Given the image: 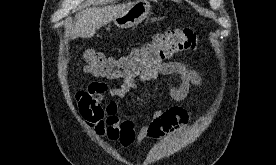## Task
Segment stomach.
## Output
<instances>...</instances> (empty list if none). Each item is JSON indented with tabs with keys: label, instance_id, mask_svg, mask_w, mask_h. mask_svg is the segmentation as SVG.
<instances>
[{
	"label": "stomach",
	"instance_id": "obj_1",
	"mask_svg": "<svg viewBox=\"0 0 276 165\" xmlns=\"http://www.w3.org/2000/svg\"><path fill=\"white\" fill-rule=\"evenodd\" d=\"M150 11L151 6L147 0H137L122 15L114 19V24L122 29L132 28L144 21Z\"/></svg>",
	"mask_w": 276,
	"mask_h": 165
}]
</instances>
